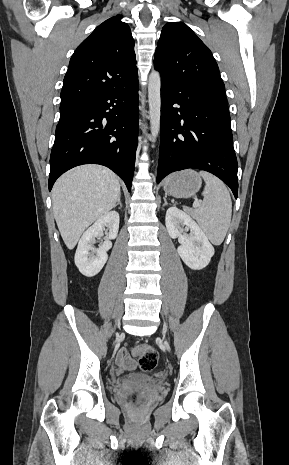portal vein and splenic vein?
Masks as SVG:
<instances>
[{
	"label": "portal vein and splenic vein",
	"instance_id": "obj_1",
	"mask_svg": "<svg viewBox=\"0 0 289 465\" xmlns=\"http://www.w3.org/2000/svg\"><path fill=\"white\" fill-rule=\"evenodd\" d=\"M199 205H200V203H199V201H197V200L193 203V206H194V207H198Z\"/></svg>",
	"mask_w": 289,
	"mask_h": 465
}]
</instances>
